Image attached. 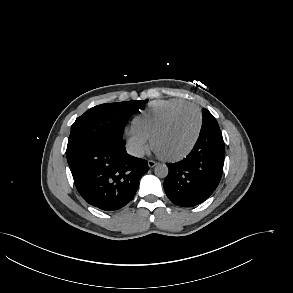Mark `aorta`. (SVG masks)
Instances as JSON below:
<instances>
[{
  "instance_id": "762f6f07",
  "label": "aorta",
  "mask_w": 293,
  "mask_h": 293,
  "mask_svg": "<svg viewBox=\"0 0 293 293\" xmlns=\"http://www.w3.org/2000/svg\"><path fill=\"white\" fill-rule=\"evenodd\" d=\"M154 173L157 177L165 178L168 175V167L165 164H157Z\"/></svg>"
}]
</instances>
